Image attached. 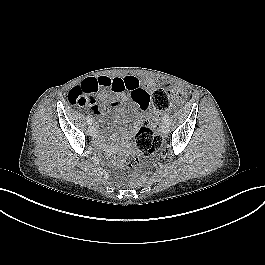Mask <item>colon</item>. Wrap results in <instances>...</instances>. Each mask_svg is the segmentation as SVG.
<instances>
[{"instance_id":"colon-1","label":"colon","mask_w":265,"mask_h":265,"mask_svg":"<svg viewBox=\"0 0 265 265\" xmlns=\"http://www.w3.org/2000/svg\"><path fill=\"white\" fill-rule=\"evenodd\" d=\"M74 87L67 95L69 103L73 106H82L85 104L84 95ZM96 85L91 84V91L96 90ZM185 93L181 90L173 89L170 86H164L154 90L151 100L157 111L167 110L173 100L183 101ZM150 124L156 125L157 119L152 117ZM135 146L139 153L149 155L159 150L161 146L160 136L149 126L142 127L135 135ZM128 170L127 183L132 186L143 184L146 181V175L141 171V159L138 153H129L125 159Z\"/></svg>"}]
</instances>
